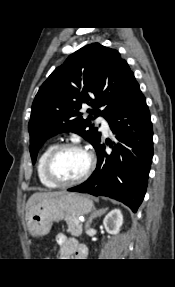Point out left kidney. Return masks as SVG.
Listing matches in <instances>:
<instances>
[{"label": "left kidney", "mask_w": 175, "mask_h": 287, "mask_svg": "<svg viewBox=\"0 0 175 287\" xmlns=\"http://www.w3.org/2000/svg\"><path fill=\"white\" fill-rule=\"evenodd\" d=\"M123 224V215L121 210H111L104 218L103 225L109 234H118Z\"/></svg>", "instance_id": "1"}]
</instances>
